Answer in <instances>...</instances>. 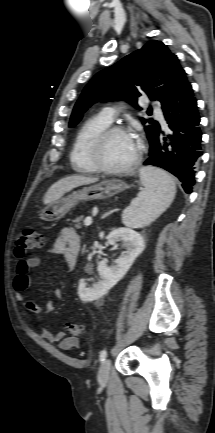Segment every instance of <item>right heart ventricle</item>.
<instances>
[{"label":"right heart ventricle","instance_id":"obj_1","mask_svg":"<svg viewBox=\"0 0 215 433\" xmlns=\"http://www.w3.org/2000/svg\"><path fill=\"white\" fill-rule=\"evenodd\" d=\"M110 124V121L99 114L89 118L82 125L76 135L70 152V161L75 171L81 173H94L97 171L90 161V145L93 139L101 131L110 126Z\"/></svg>","mask_w":215,"mask_h":433}]
</instances>
